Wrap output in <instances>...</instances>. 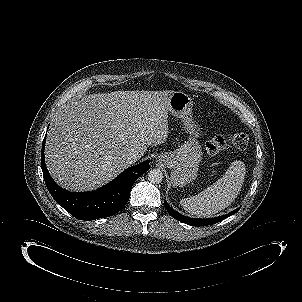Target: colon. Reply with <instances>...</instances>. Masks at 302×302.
Segmentation results:
<instances>
[{"mask_svg":"<svg viewBox=\"0 0 302 302\" xmlns=\"http://www.w3.org/2000/svg\"><path fill=\"white\" fill-rule=\"evenodd\" d=\"M248 144V135L245 132H235L228 135H218L205 144V152L209 156L217 155L228 146L243 149Z\"/></svg>","mask_w":302,"mask_h":302,"instance_id":"colon-1","label":"colon"}]
</instances>
